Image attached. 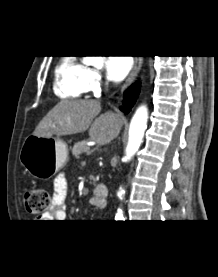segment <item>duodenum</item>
I'll use <instances>...</instances> for the list:
<instances>
[{"label": "duodenum", "instance_id": "410a0bca", "mask_svg": "<svg viewBox=\"0 0 218 277\" xmlns=\"http://www.w3.org/2000/svg\"><path fill=\"white\" fill-rule=\"evenodd\" d=\"M107 197V186L104 184H99L94 188V198L92 203L97 207H104Z\"/></svg>", "mask_w": 218, "mask_h": 277}]
</instances>
